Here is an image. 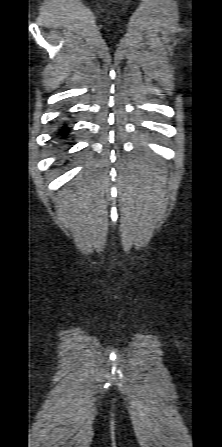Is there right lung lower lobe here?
<instances>
[{
	"label": "right lung lower lobe",
	"instance_id": "98d812e1",
	"mask_svg": "<svg viewBox=\"0 0 222 447\" xmlns=\"http://www.w3.org/2000/svg\"><path fill=\"white\" fill-rule=\"evenodd\" d=\"M69 134H70V128L68 127L66 122H62L59 128L57 129L56 138L65 139L69 136Z\"/></svg>",
	"mask_w": 222,
	"mask_h": 447
}]
</instances>
